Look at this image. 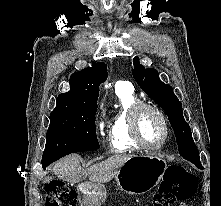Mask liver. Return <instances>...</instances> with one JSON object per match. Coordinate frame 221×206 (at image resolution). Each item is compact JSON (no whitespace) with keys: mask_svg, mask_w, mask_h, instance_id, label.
Returning a JSON list of instances; mask_svg holds the SVG:
<instances>
[{"mask_svg":"<svg viewBox=\"0 0 221 206\" xmlns=\"http://www.w3.org/2000/svg\"><path fill=\"white\" fill-rule=\"evenodd\" d=\"M131 155H113L108 159L96 163L89 168H82L80 157L71 155L65 157L53 166V173L60 179L68 182L78 183L89 177L90 181L96 183H105L115 178L119 168L130 158ZM46 178L45 181H49Z\"/></svg>","mask_w":221,"mask_h":206,"instance_id":"obj_1","label":"liver"}]
</instances>
